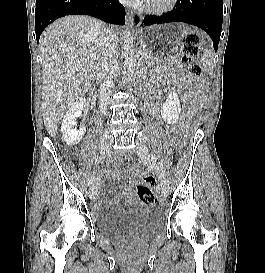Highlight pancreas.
<instances>
[{"label":"pancreas","mask_w":265,"mask_h":273,"mask_svg":"<svg viewBox=\"0 0 265 273\" xmlns=\"http://www.w3.org/2000/svg\"><path fill=\"white\" fill-rule=\"evenodd\" d=\"M143 53L147 54V56L143 58V62L146 64L147 67H151L155 64L167 65L170 62V60H168L167 58L156 59L151 54L146 52L145 50H143Z\"/></svg>","instance_id":"cf45deb5"}]
</instances>
